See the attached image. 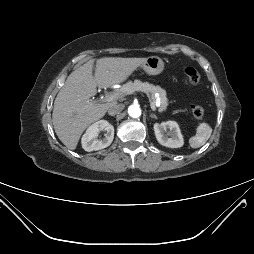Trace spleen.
I'll use <instances>...</instances> for the list:
<instances>
[{"label": "spleen", "instance_id": "1", "mask_svg": "<svg viewBox=\"0 0 254 254\" xmlns=\"http://www.w3.org/2000/svg\"><path fill=\"white\" fill-rule=\"evenodd\" d=\"M212 134V128L209 124L202 122L196 129V135L189 139V144L192 148L203 146Z\"/></svg>", "mask_w": 254, "mask_h": 254}]
</instances>
